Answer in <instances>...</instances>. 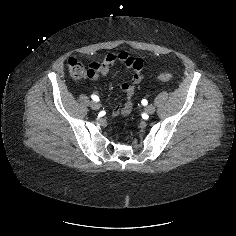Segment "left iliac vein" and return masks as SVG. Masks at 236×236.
<instances>
[{"label":"left iliac vein","instance_id":"4c4485c4","mask_svg":"<svg viewBox=\"0 0 236 236\" xmlns=\"http://www.w3.org/2000/svg\"><path fill=\"white\" fill-rule=\"evenodd\" d=\"M155 107L153 106V105H148V106H146V108H145V111H146V113L147 114H153L154 112H155Z\"/></svg>","mask_w":236,"mask_h":236}]
</instances>
